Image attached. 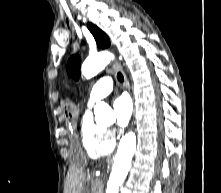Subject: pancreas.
Masks as SVG:
<instances>
[{"label": "pancreas", "mask_w": 221, "mask_h": 193, "mask_svg": "<svg viewBox=\"0 0 221 193\" xmlns=\"http://www.w3.org/2000/svg\"><path fill=\"white\" fill-rule=\"evenodd\" d=\"M94 187H95L96 193H102V191L100 190V188H101L100 180L96 179L94 181Z\"/></svg>", "instance_id": "1"}]
</instances>
